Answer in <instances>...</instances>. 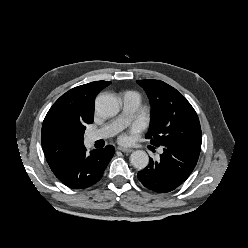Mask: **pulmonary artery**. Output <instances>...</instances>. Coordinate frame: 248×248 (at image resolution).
I'll return each instance as SVG.
<instances>
[{
  "label": "pulmonary artery",
  "instance_id": "pulmonary-artery-1",
  "mask_svg": "<svg viewBox=\"0 0 248 248\" xmlns=\"http://www.w3.org/2000/svg\"><path fill=\"white\" fill-rule=\"evenodd\" d=\"M121 101L122 113L115 120L90 132L87 136L90 143L114 136L129 123L138 109L140 98L135 92L126 91L121 95Z\"/></svg>",
  "mask_w": 248,
  "mask_h": 248
}]
</instances>
